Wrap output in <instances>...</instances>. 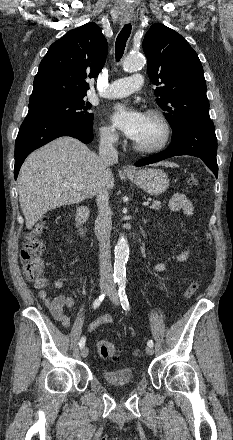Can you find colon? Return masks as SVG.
Here are the masks:
<instances>
[{
    "instance_id": "1",
    "label": "colon",
    "mask_w": 233,
    "mask_h": 440,
    "mask_svg": "<svg viewBox=\"0 0 233 440\" xmlns=\"http://www.w3.org/2000/svg\"><path fill=\"white\" fill-rule=\"evenodd\" d=\"M188 183L192 186H197L199 184V179L196 175L191 174L188 178ZM45 224L46 220L43 219L25 235L23 247L20 251V260L25 277L34 283H38L40 286H43L46 282L44 276V264L41 260L44 245L39 238L45 228ZM205 241L208 244L211 243V237L208 233H205ZM199 284V278L193 280L185 290V298H191L197 292ZM97 351L99 356L104 359L117 358V349L115 345L109 341L99 340L97 342ZM133 355H138V351L135 350Z\"/></svg>"
}]
</instances>
